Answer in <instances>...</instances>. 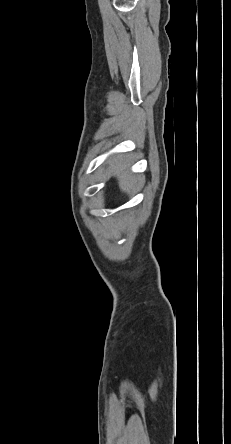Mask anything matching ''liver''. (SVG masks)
<instances>
[{
  "label": "liver",
  "mask_w": 231,
  "mask_h": 444,
  "mask_svg": "<svg viewBox=\"0 0 231 444\" xmlns=\"http://www.w3.org/2000/svg\"><path fill=\"white\" fill-rule=\"evenodd\" d=\"M129 167L126 156H117L109 161L110 173L118 179L121 191L130 193L137 183V177L130 175L127 171Z\"/></svg>",
  "instance_id": "obj_1"
}]
</instances>
